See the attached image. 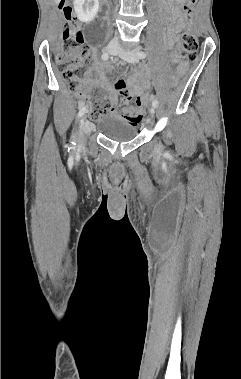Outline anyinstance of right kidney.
Instances as JSON below:
<instances>
[{"mask_svg": "<svg viewBox=\"0 0 241 379\" xmlns=\"http://www.w3.org/2000/svg\"><path fill=\"white\" fill-rule=\"evenodd\" d=\"M73 5L77 18L83 23H89L98 12L99 0H74Z\"/></svg>", "mask_w": 241, "mask_h": 379, "instance_id": "right-kidney-1", "label": "right kidney"}]
</instances>
